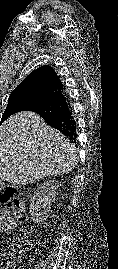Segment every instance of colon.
Wrapping results in <instances>:
<instances>
[{
	"mask_svg": "<svg viewBox=\"0 0 118 269\" xmlns=\"http://www.w3.org/2000/svg\"><path fill=\"white\" fill-rule=\"evenodd\" d=\"M0 203L5 206L6 213L13 221L25 222L27 220L24 194L11 185H0ZM11 248L0 254V269H12L16 260L17 250L24 244L23 238L16 239Z\"/></svg>",
	"mask_w": 118,
	"mask_h": 269,
	"instance_id": "1",
	"label": "colon"
}]
</instances>
